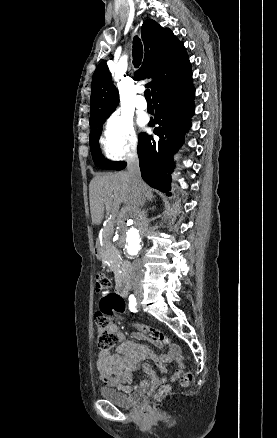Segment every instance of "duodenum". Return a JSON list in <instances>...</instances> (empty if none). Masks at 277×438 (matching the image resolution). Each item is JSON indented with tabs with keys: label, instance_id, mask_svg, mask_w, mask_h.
<instances>
[{
	"label": "duodenum",
	"instance_id": "410a0bca",
	"mask_svg": "<svg viewBox=\"0 0 277 438\" xmlns=\"http://www.w3.org/2000/svg\"><path fill=\"white\" fill-rule=\"evenodd\" d=\"M94 253L97 258L101 257V246L99 242H97L94 246ZM129 271L130 264L128 262H124L122 266V275L118 276L116 282V292L121 296H125L128 293L127 275Z\"/></svg>",
	"mask_w": 277,
	"mask_h": 438
}]
</instances>
